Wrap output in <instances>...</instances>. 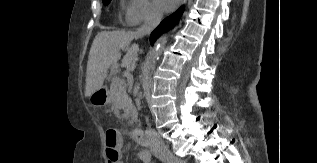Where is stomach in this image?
Listing matches in <instances>:
<instances>
[{"label":"stomach","mask_w":317,"mask_h":163,"mask_svg":"<svg viewBox=\"0 0 317 163\" xmlns=\"http://www.w3.org/2000/svg\"><path fill=\"white\" fill-rule=\"evenodd\" d=\"M89 102L93 107L105 106L109 102L108 92L104 88H100L89 97Z\"/></svg>","instance_id":"0dacf381"}]
</instances>
